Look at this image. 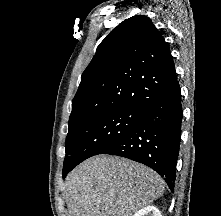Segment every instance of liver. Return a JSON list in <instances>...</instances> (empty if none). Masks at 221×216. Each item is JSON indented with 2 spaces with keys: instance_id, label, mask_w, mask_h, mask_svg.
I'll use <instances>...</instances> for the list:
<instances>
[{
  "instance_id": "obj_1",
  "label": "liver",
  "mask_w": 221,
  "mask_h": 216,
  "mask_svg": "<svg viewBox=\"0 0 221 216\" xmlns=\"http://www.w3.org/2000/svg\"><path fill=\"white\" fill-rule=\"evenodd\" d=\"M65 187L69 216H133L163 195L165 182L145 165L101 155L73 169Z\"/></svg>"
}]
</instances>
